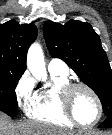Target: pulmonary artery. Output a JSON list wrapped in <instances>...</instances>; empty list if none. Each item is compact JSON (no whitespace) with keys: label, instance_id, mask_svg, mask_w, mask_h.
I'll use <instances>...</instances> for the list:
<instances>
[{"label":"pulmonary artery","instance_id":"1","mask_svg":"<svg viewBox=\"0 0 112 135\" xmlns=\"http://www.w3.org/2000/svg\"><path fill=\"white\" fill-rule=\"evenodd\" d=\"M48 70L50 73H56L60 75H68V66L61 60L52 59L48 63Z\"/></svg>","mask_w":112,"mask_h":135}]
</instances>
